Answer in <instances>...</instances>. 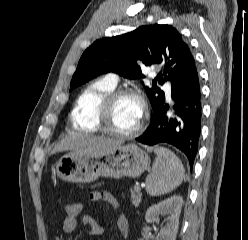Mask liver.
<instances>
[{"instance_id":"6515ba94","label":"liver","mask_w":248,"mask_h":240,"mask_svg":"<svg viewBox=\"0 0 248 240\" xmlns=\"http://www.w3.org/2000/svg\"><path fill=\"white\" fill-rule=\"evenodd\" d=\"M122 143L123 141L104 137L76 134L62 139L58 144L55 145L51 151V154L67 150L82 153L98 152L120 146Z\"/></svg>"}]
</instances>
